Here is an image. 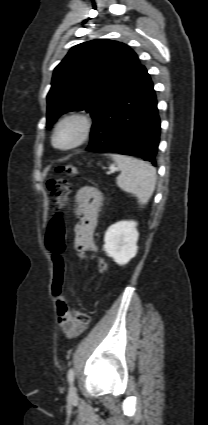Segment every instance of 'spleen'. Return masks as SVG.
Segmentation results:
<instances>
[{"instance_id": "spleen-1", "label": "spleen", "mask_w": 208, "mask_h": 425, "mask_svg": "<svg viewBox=\"0 0 208 425\" xmlns=\"http://www.w3.org/2000/svg\"><path fill=\"white\" fill-rule=\"evenodd\" d=\"M111 157L121 170L116 181L118 187L136 196L139 204H146L155 189V168L150 163L133 157L119 154H112Z\"/></svg>"}]
</instances>
